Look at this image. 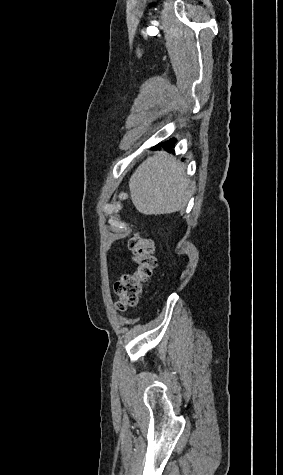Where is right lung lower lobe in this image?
I'll list each match as a JSON object with an SVG mask.
<instances>
[{
	"label": "right lung lower lobe",
	"mask_w": 283,
	"mask_h": 475,
	"mask_svg": "<svg viewBox=\"0 0 283 475\" xmlns=\"http://www.w3.org/2000/svg\"><path fill=\"white\" fill-rule=\"evenodd\" d=\"M177 140L175 138L170 139L169 141L163 142L158 146L154 147V149H160L161 147H165L168 152H174L172 148Z\"/></svg>",
	"instance_id": "right-lung-lower-lobe-1"
}]
</instances>
